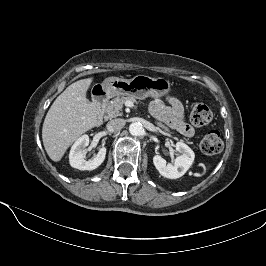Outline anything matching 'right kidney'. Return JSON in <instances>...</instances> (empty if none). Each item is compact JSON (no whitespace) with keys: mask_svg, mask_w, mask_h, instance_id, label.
Here are the masks:
<instances>
[{"mask_svg":"<svg viewBox=\"0 0 266 266\" xmlns=\"http://www.w3.org/2000/svg\"><path fill=\"white\" fill-rule=\"evenodd\" d=\"M88 145V135L79 137L73 144L69 154V162L73 168L90 171L96 169L103 163L106 156V148L99 147L97 155L92 159L87 160L85 152Z\"/></svg>","mask_w":266,"mask_h":266,"instance_id":"ca27d5eb","label":"right kidney"}]
</instances>
